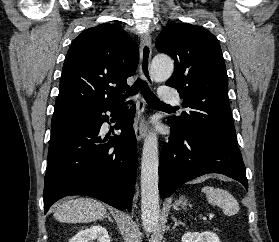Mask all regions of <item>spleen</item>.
<instances>
[{"label": "spleen", "mask_w": 279, "mask_h": 242, "mask_svg": "<svg viewBox=\"0 0 279 242\" xmlns=\"http://www.w3.org/2000/svg\"><path fill=\"white\" fill-rule=\"evenodd\" d=\"M201 191L206 194L208 202L221 207L224 214L232 216L238 213L239 204L228 191L212 186H205Z\"/></svg>", "instance_id": "1"}]
</instances>
